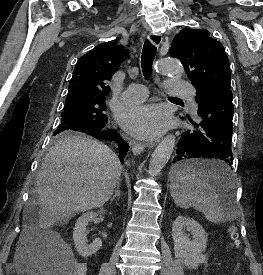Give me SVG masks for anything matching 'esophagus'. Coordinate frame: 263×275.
I'll use <instances>...</instances> for the list:
<instances>
[{
	"label": "esophagus",
	"mask_w": 263,
	"mask_h": 275,
	"mask_svg": "<svg viewBox=\"0 0 263 275\" xmlns=\"http://www.w3.org/2000/svg\"><path fill=\"white\" fill-rule=\"evenodd\" d=\"M149 41L156 47H159L162 43V37L159 34L156 33H149L148 35ZM158 141H151L148 143H140L136 141L131 142L132 152L134 155H139L142 153L145 147H152L154 146Z\"/></svg>",
	"instance_id": "obj_1"
}]
</instances>
